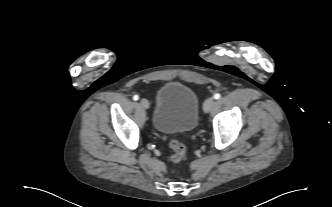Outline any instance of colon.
<instances>
[{"label":"colon","mask_w":332,"mask_h":207,"mask_svg":"<svg viewBox=\"0 0 332 207\" xmlns=\"http://www.w3.org/2000/svg\"><path fill=\"white\" fill-rule=\"evenodd\" d=\"M169 146L172 150L171 161L174 163H178L182 161L186 154V148L183 143L179 140L172 139L169 143Z\"/></svg>","instance_id":"5ec220e1"}]
</instances>
